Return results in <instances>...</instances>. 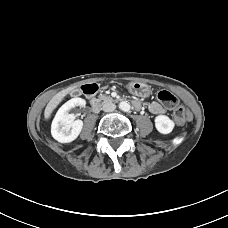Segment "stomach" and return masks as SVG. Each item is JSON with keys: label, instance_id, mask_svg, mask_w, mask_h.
Wrapping results in <instances>:
<instances>
[{"label": "stomach", "instance_id": "stomach-1", "mask_svg": "<svg viewBox=\"0 0 228 228\" xmlns=\"http://www.w3.org/2000/svg\"><path fill=\"white\" fill-rule=\"evenodd\" d=\"M128 90L139 97H148L151 93L149 85L140 81H132L127 84Z\"/></svg>", "mask_w": 228, "mask_h": 228}]
</instances>
